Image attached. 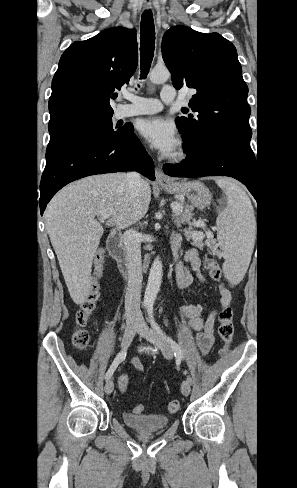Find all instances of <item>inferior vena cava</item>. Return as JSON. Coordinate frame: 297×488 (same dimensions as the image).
I'll return each instance as SVG.
<instances>
[{
	"label": "inferior vena cava",
	"instance_id": "602c4592",
	"mask_svg": "<svg viewBox=\"0 0 297 488\" xmlns=\"http://www.w3.org/2000/svg\"><path fill=\"white\" fill-rule=\"evenodd\" d=\"M139 173L129 172L126 176V183L129 191L134 193L143 184ZM141 234L136 230L129 229L124 232L123 242L126 249L128 261V284L125 295L126 317L142 316L140 310V297L142 288V260H141Z\"/></svg>",
	"mask_w": 297,
	"mask_h": 488
}]
</instances>
